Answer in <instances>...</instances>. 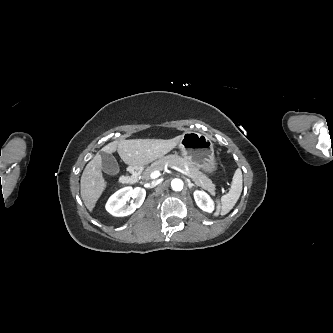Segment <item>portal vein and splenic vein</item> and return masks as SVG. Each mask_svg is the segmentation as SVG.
I'll use <instances>...</instances> for the list:
<instances>
[{"instance_id":"portal-vein-and-splenic-vein-1","label":"portal vein and splenic vein","mask_w":333,"mask_h":333,"mask_svg":"<svg viewBox=\"0 0 333 333\" xmlns=\"http://www.w3.org/2000/svg\"><path fill=\"white\" fill-rule=\"evenodd\" d=\"M171 168L174 169V170H176V171H178V172H180V173H182V174H184V175H186V176H188V174H187V172L185 170H183V169H181V168H179L177 166H171ZM159 176H160V171L156 170V171H154V172H152L150 174V179H156Z\"/></svg>"}]
</instances>
